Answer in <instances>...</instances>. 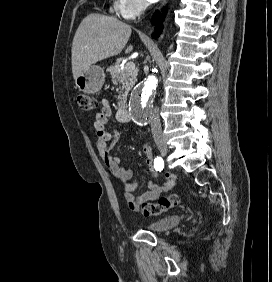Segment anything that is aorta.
<instances>
[{"label": "aorta", "instance_id": "aorta-1", "mask_svg": "<svg viewBox=\"0 0 272 282\" xmlns=\"http://www.w3.org/2000/svg\"><path fill=\"white\" fill-rule=\"evenodd\" d=\"M157 83V78L152 75L135 90L131 100V112L136 120L143 121L149 116L151 99Z\"/></svg>", "mask_w": 272, "mask_h": 282}]
</instances>
